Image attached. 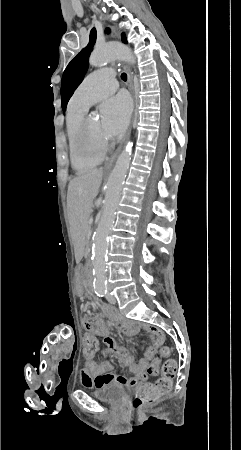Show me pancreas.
Returning a JSON list of instances; mask_svg holds the SVG:
<instances>
[{
	"instance_id": "pancreas-1",
	"label": "pancreas",
	"mask_w": 241,
	"mask_h": 450,
	"mask_svg": "<svg viewBox=\"0 0 241 450\" xmlns=\"http://www.w3.org/2000/svg\"><path fill=\"white\" fill-rule=\"evenodd\" d=\"M87 231H90V230H85V238H86V240H89L90 236H89V234H87Z\"/></svg>"
}]
</instances>
